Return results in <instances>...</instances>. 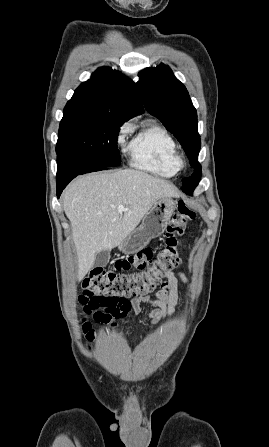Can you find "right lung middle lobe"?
Listing matches in <instances>:
<instances>
[{
  "label": "right lung middle lobe",
  "instance_id": "dd1d6c3e",
  "mask_svg": "<svg viewBox=\"0 0 269 447\" xmlns=\"http://www.w3.org/2000/svg\"><path fill=\"white\" fill-rule=\"evenodd\" d=\"M124 121L80 116L63 117L56 145L57 159H71L100 167L119 166L117 137Z\"/></svg>",
  "mask_w": 269,
  "mask_h": 447
}]
</instances>
